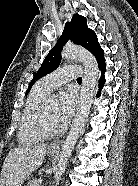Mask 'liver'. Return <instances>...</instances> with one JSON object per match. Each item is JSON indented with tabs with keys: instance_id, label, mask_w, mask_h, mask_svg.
Listing matches in <instances>:
<instances>
[{
	"instance_id": "obj_1",
	"label": "liver",
	"mask_w": 138,
	"mask_h": 186,
	"mask_svg": "<svg viewBox=\"0 0 138 186\" xmlns=\"http://www.w3.org/2000/svg\"><path fill=\"white\" fill-rule=\"evenodd\" d=\"M46 149L47 144L11 149L2 166L0 186H22L29 175L43 163Z\"/></svg>"
}]
</instances>
